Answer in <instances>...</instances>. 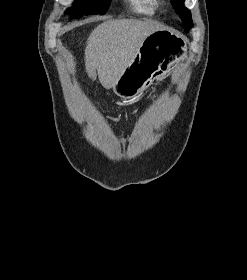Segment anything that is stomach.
Here are the masks:
<instances>
[{
	"instance_id": "1",
	"label": "stomach",
	"mask_w": 247,
	"mask_h": 280,
	"mask_svg": "<svg viewBox=\"0 0 247 280\" xmlns=\"http://www.w3.org/2000/svg\"><path fill=\"white\" fill-rule=\"evenodd\" d=\"M184 49L183 40L172 32L162 30L150 34L119 78L114 91L122 97L140 93L155 79L163 77Z\"/></svg>"
}]
</instances>
